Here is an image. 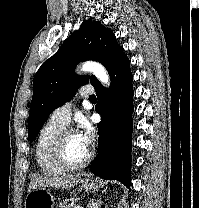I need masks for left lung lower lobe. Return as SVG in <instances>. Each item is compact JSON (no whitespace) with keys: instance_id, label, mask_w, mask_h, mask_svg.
<instances>
[{"instance_id":"left-lung-lower-lobe-1","label":"left lung lower lobe","mask_w":199,"mask_h":208,"mask_svg":"<svg viewBox=\"0 0 199 208\" xmlns=\"http://www.w3.org/2000/svg\"><path fill=\"white\" fill-rule=\"evenodd\" d=\"M109 75V89L101 84L95 87L98 97L96 111L102 118L98 124L99 152L90 169L103 179L118 180L129 187L134 94L129 59L123 58Z\"/></svg>"}]
</instances>
